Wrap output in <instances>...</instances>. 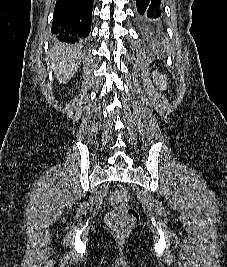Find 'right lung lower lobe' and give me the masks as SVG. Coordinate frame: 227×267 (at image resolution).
I'll return each mask as SVG.
<instances>
[{
	"label": "right lung lower lobe",
	"mask_w": 227,
	"mask_h": 267,
	"mask_svg": "<svg viewBox=\"0 0 227 267\" xmlns=\"http://www.w3.org/2000/svg\"><path fill=\"white\" fill-rule=\"evenodd\" d=\"M93 0H57L52 34L61 42L81 44L91 30Z\"/></svg>",
	"instance_id": "98d812e1"
}]
</instances>
